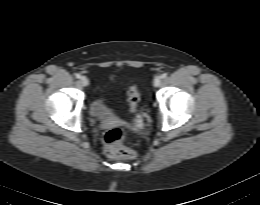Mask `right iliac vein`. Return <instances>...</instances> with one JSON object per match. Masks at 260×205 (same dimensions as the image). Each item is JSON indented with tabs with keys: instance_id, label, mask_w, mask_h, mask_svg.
Here are the masks:
<instances>
[{
	"instance_id": "63e3f726",
	"label": "right iliac vein",
	"mask_w": 260,
	"mask_h": 205,
	"mask_svg": "<svg viewBox=\"0 0 260 205\" xmlns=\"http://www.w3.org/2000/svg\"><path fill=\"white\" fill-rule=\"evenodd\" d=\"M80 82H81V84H82L83 86H88V84H89V80H88V78L85 77V76H82V77L80 78Z\"/></svg>"
}]
</instances>
